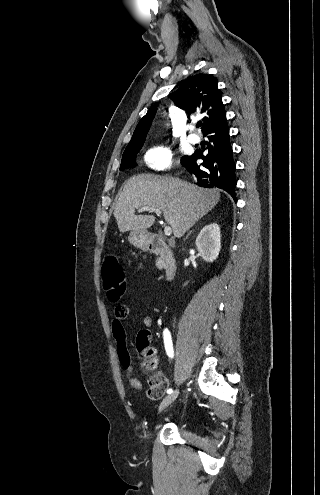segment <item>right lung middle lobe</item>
Returning <instances> with one entry per match:
<instances>
[{"label": "right lung middle lobe", "mask_w": 320, "mask_h": 495, "mask_svg": "<svg viewBox=\"0 0 320 495\" xmlns=\"http://www.w3.org/2000/svg\"><path fill=\"white\" fill-rule=\"evenodd\" d=\"M142 146L143 145H139L137 147L127 149L124 151V153L122 155L120 170L135 167L137 165L136 161H135V157H136V154L139 152V150L142 148ZM185 158H186V156H183L181 158V161L184 160Z\"/></svg>", "instance_id": "dd1d6c3e"}]
</instances>
